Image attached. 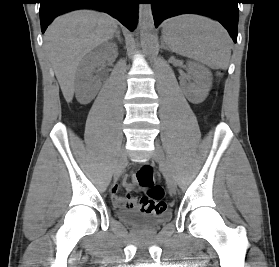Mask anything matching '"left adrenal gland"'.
Instances as JSON below:
<instances>
[{
    "label": "left adrenal gland",
    "mask_w": 279,
    "mask_h": 267,
    "mask_svg": "<svg viewBox=\"0 0 279 267\" xmlns=\"http://www.w3.org/2000/svg\"><path fill=\"white\" fill-rule=\"evenodd\" d=\"M163 49H165V50H169V49H168V47H167V46H165L164 44H163Z\"/></svg>",
    "instance_id": "a2214340"
}]
</instances>
